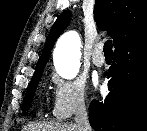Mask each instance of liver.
Returning a JSON list of instances; mask_svg holds the SVG:
<instances>
[{"label":"liver","mask_w":147,"mask_h":131,"mask_svg":"<svg viewBox=\"0 0 147 131\" xmlns=\"http://www.w3.org/2000/svg\"><path fill=\"white\" fill-rule=\"evenodd\" d=\"M22 131H79L74 123L31 122L23 126Z\"/></svg>","instance_id":"liver-1"}]
</instances>
